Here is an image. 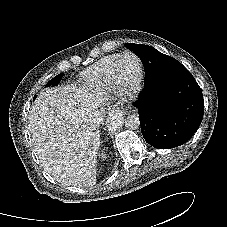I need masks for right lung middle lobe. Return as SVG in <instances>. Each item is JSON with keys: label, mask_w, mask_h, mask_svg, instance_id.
Here are the masks:
<instances>
[{"label": "right lung middle lobe", "mask_w": 227, "mask_h": 227, "mask_svg": "<svg viewBox=\"0 0 227 227\" xmlns=\"http://www.w3.org/2000/svg\"><path fill=\"white\" fill-rule=\"evenodd\" d=\"M62 77H63V73H61V74L55 76L53 79H51V80L47 83V86H50V85L56 86V85H58L59 82L61 81Z\"/></svg>", "instance_id": "dd1d6c3e"}]
</instances>
